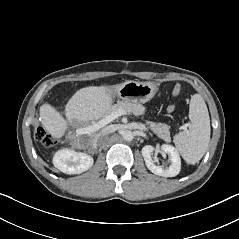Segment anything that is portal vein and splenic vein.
<instances>
[{
    "mask_svg": "<svg viewBox=\"0 0 239 239\" xmlns=\"http://www.w3.org/2000/svg\"><path fill=\"white\" fill-rule=\"evenodd\" d=\"M122 115H126V111L125 110H117V111L111 113L110 115L105 116L103 119L94 123L93 125L88 126L86 133L89 134L91 132L98 131L100 128L104 127L105 125L109 124L110 122H112L113 120H115L116 118H118Z\"/></svg>",
    "mask_w": 239,
    "mask_h": 239,
    "instance_id": "1",
    "label": "portal vein and splenic vein"
}]
</instances>
